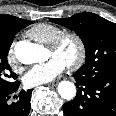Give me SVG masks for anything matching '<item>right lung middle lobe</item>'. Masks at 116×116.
I'll return each mask as SVG.
<instances>
[{
  "label": "right lung middle lobe",
  "instance_id": "1",
  "mask_svg": "<svg viewBox=\"0 0 116 116\" xmlns=\"http://www.w3.org/2000/svg\"><path fill=\"white\" fill-rule=\"evenodd\" d=\"M32 23V21L27 20L11 30H0V90L11 87L15 83L11 80L17 78V75L11 71L6 59L14 36L19 30Z\"/></svg>",
  "mask_w": 116,
  "mask_h": 116
}]
</instances>
